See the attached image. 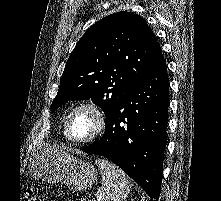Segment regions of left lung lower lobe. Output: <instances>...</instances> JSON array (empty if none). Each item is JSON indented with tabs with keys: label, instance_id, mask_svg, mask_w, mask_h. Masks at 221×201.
Instances as JSON below:
<instances>
[{
	"label": "left lung lower lobe",
	"instance_id": "0a47b994",
	"mask_svg": "<svg viewBox=\"0 0 221 201\" xmlns=\"http://www.w3.org/2000/svg\"><path fill=\"white\" fill-rule=\"evenodd\" d=\"M168 105L169 79L163 60L115 108L103 137L82 150L113 161L150 197L158 200Z\"/></svg>",
	"mask_w": 221,
	"mask_h": 201
}]
</instances>
